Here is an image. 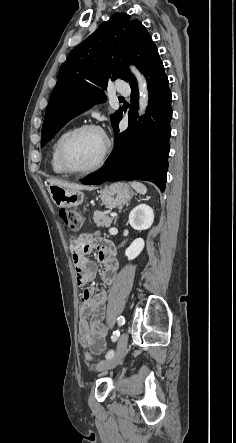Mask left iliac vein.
<instances>
[{
  "label": "left iliac vein",
  "mask_w": 236,
  "mask_h": 443,
  "mask_svg": "<svg viewBox=\"0 0 236 443\" xmlns=\"http://www.w3.org/2000/svg\"><path fill=\"white\" fill-rule=\"evenodd\" d=\"M128 342V336L126 333L121 334V336L118 339L117 347L115 354L112 358L107 359L105 361H101L96 365V369L98 371H104L108 369L115 368L122 360L125 354V350L127 347Z\"/></svg>",
  "instance_id": "4c4485c4"
}]
</instances>
